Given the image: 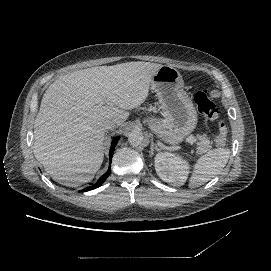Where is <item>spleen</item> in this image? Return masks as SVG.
<instances>
[{
    "instance_id": "3e777b00",
    "label": "spleen",
    "mask_w": 271,
    "mask_h": 271,
    "mask_svg": "<svg viewBox=\"0 0 271 271\" xmlns=\"http://www.w3.org/2000/svg\"><path fill=\"white\" fill-rule=\"evenodd\" d=\"M229 157L230 150L227 148L213 149L201 156L194 165L189 186L193 188L208 182L226 166ZM178 158L181 159V157Z\"/></svg>"
}]
</instances>
